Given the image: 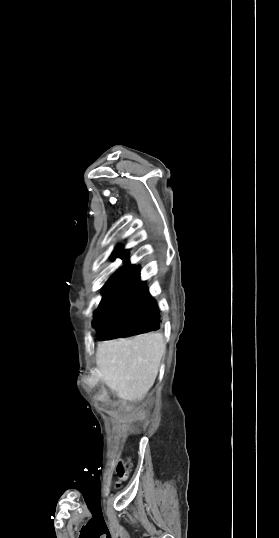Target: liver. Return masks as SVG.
<instances>
[{
	"instance_id": "obj_1",
	"label": "liver",
	"mask_w": 279,
	"mask_h": 538,
	"mask_svg": "<svg viewBox=\"0 0 279 538\" xmlns=\"http://www.w3.org/2000/svg\"><path fill=\"white\" fill-rule=\"evenodd\" d=\"M164 352L162 334L150 332L99 342L96 364L106 386L115 390L118 398L138 402L152 388Z\"/></svg>"
}]
</instances>
